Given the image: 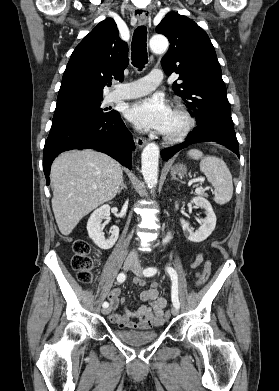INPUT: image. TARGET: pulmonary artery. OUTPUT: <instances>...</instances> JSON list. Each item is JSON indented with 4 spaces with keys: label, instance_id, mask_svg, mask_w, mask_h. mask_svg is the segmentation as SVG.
<instances>
[{
    "label": "pulmonary artery",
    "instance_id": "obj_1",
    "mask_svg": "<svg viewBox=\"0 0 279 391\" xmlns=\"http://www.w3.org/2000/svg\"><path fill=\"white\" fill-rule=\"evenodd\" d=\"M160 71H151L145 77L127 84H118L109 95L110 101L136 98L152 92L161 82Z\"/></svg>",
    "mask_w": 279,
    "mask_h": 391
}]
</instances>
